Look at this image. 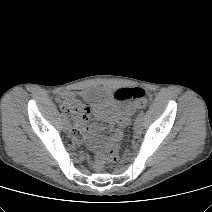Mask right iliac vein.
I'll return each mask as SVG.
<instances>
[{
    "instance_id": "right-iliac-vein-1",
    "label": "right iliac vein",
    "mask_w": 212,
    "mask_h": 212,
    "mask_svg": "<svg viewBox=\"0 0 212 212\" xmlns=\"http://www.w3.org/2000/svg\"><path fill=\"white\" fill-rule=\"evenodd\" d=\"M64 125L66 127V129H70L71 128V124L68 120H65Z\"/></svg>"
}]
</instances>
